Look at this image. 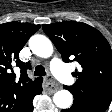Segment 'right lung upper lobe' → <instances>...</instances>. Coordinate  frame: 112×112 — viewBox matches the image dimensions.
<instances>
[{"mask_svg":"<svg viewBox=\"0 0 112 112\" xmlns=\"http://www.w3.org/2000/svg\"><path fill=\"white\" fill-rule=\"evenodd\" d=\"M40 25L9 22L0 25V112H22L29 99L42 85L43 78L31 80L30 64L19 59V52ZM20 68V77L13 71Z\"/></svg>","mask_w":112,"mask_h":112,"instance_id":"1","label":"right lung upper lobe"}]
</instances>
